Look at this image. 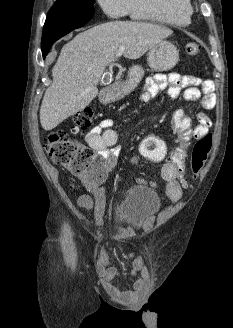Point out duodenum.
<instances>
[{"label": "duodenum", "mask_w": 233, "mask_h": 328, "mask_svg": "<svg viewBox=\"0 0 233 328\" xmlns=\"http://www.w3.org/2000/svg\"><path fill=\"white\" fill-rule=\"evenodd\" d=\"M115 94H116L115 86L107 87L101 91L100 99L102 102H109L115 97Z\"/></svg>", "instance_id": "obj_1"}]
</instances>
